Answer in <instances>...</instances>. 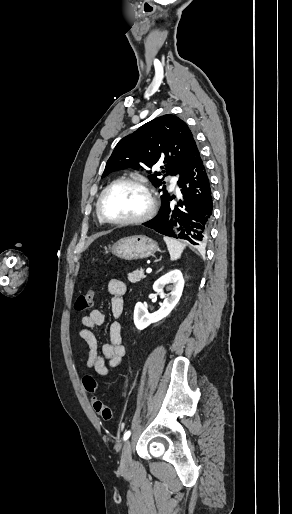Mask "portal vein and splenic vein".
Listing matches in <instances>:
<instances>
[{
	"instance_id": "1",
	"label": "portal vein and splenic vein",
	"mask_w": 292,
	"mask_h": 514,
	"mask_svg": "<svg viewBox=\"0 0 292 514\" xmlns=\"http://www.w3.org/2000/svg\"><path fill=\"white\" fill-rule=\"evenodd\" d=\"M147 274H150V272H152L151 268H148V270H146Z\"/></svg>"
}]
</instances>
